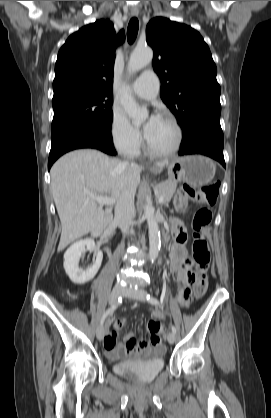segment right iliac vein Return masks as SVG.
I'll return each mask as SVG.
<instances>
[{"instance_id": "obj_1", "label": "right iliac vein", "mask_w": 271, "mask_h": 418, "mask_svg": "<svg viewBox=\"0 0 271 418\" xmlns=\"http://www.w3.org/2000/svg\"><path fill=\"white\" fill-rule=\"evenodd\" d=\"M123 294V288L120 286H115L109 297V304H114L119 297ZM105 335V327L103 324H100L96 330V336L99 341L103 340Z\"/></svg>"}]
</instances>
